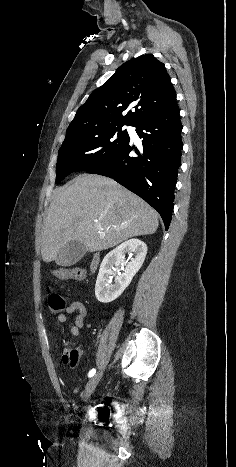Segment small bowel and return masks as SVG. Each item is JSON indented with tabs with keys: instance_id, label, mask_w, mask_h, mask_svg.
I'll return each instance as SVG.
<instances>
[{
	"instance_id": "c3829d8e",
	"label": "small bowel",
	"mask_w": 236,
	"mask_h": 467,
	"mask_svg": "<svg viewBox=\"0 0 236 467\" xmlns=\"http://www.w3.org/2000/svg\"><path fill=\"white\" fill-rule=\"evenodd\" d=\"M77 313L74 321H69L67 314ZM87 317L86 306L78 300L70 301L65 305L64 312L57 315L59 323L68 324L73 336H79L85 325ZM62 362L67 365L65 355L62 356Z\"/></svg>"
}]
</instances>
